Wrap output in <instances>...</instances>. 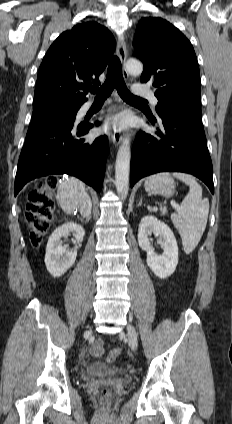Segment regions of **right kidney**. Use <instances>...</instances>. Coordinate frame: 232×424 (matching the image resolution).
<instances>
[{
  "instance_id": "right-kidney-1",
  "label": "right kidney",
  "mask_w": 232,
  "mask_h": 424,
  "mask_svg": "<svg viewBox=\"0 0 232 424\" xmlns=\"http://www.w3.org/2000/svg\"><path fill=\"white\" fill-rule=\"evenodd\" d=\"M70 233H73L77 242H82L85 230L82 226L69 222L55 229L49 237L46 247L45 264L48 272L53 277L62 276L75 263L77 250L74 249L68 252L66 247L62 246L61 241V238L67 237Z\"/></svg>"
}]
</instances>
